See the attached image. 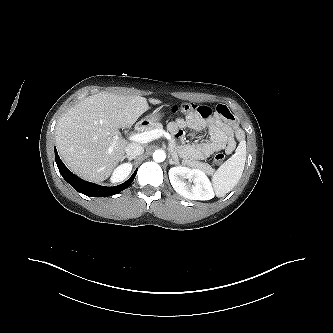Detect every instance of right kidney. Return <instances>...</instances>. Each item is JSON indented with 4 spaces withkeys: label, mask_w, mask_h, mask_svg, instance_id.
<instances>
[{
    "label": "right kidney",
    "mask_w": 333,
    "mask_h": 333,
    "mask_svg": "<svg viewBox=\"0 0 333 333\" xmlns=\"http://www.w3.org/2000/svg\"><path fill=\"white\" fill-rule=\"evenodd\" d=\"M132 170V164L131 163H125L119 165L111 177L112 182H120L123 181L131 172Z\"/></svg>",
    "instance_id": "obj_1"
}]
</instances>
